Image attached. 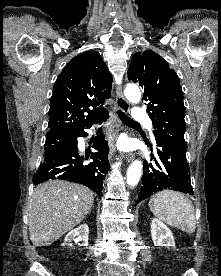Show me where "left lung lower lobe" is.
Here are the masks:
<instances>
[{
  "mask_svg": "<svg viewBox=\"0 0 221 276\" xmlns=\"http://www.w3.org/2000/svg\"><path fill=\"white\" fill-rule=\"evenodd\" d=\"M155 140L156 154L151 155V162H143L142 186L137 202L163 189L193 195L186 159L187 147L163 138H155Z\"/></svg>",
  "mask_w": 221,
  "mask_h": 276,
  "instance_id": "obj_1",
  "label": "left lung lower lobe"
}]
</instances>
